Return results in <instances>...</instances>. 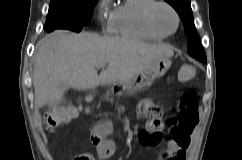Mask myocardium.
<instances>
[{
  "label": "myocardium",
  "mask_w": 242,
  "mask_h": 160,
  "mask_svg": "<svg viewBox=\"0 0 242 160\" xmlns=\"http://www.w3.org/2000/svg\"><path fill=\"white\" fill-rule=\"evenodd\" d=\"M159 7H165L173 13L175 20H176V26L172 32H165L157 26V24L154 20V14H155L156 9ZM143 20H144L146 27L151 32H153L154 34H157L159 36H162V37H169V36L174 35L178 31V29L180 27V22H181L180 15H179L178 11L175 9V7L172 6L170 3L163 1V0L153 1L150 5H148L146 7V9L144 10Z\"/></svg>",
  "instance_id": "f54148a6"
}]
</instances>
